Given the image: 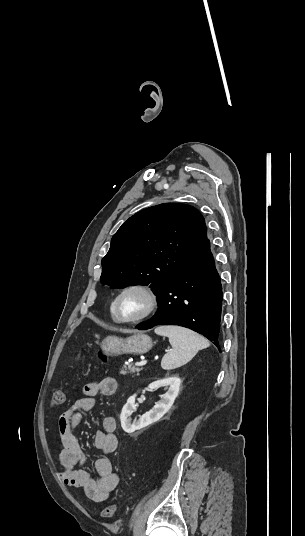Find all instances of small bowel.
Masks as SVG:
<instances>
[{
	"label": "small bowel",
	"mask_w": 305,
	"mask_h": 536,
	"mask_svg": "<svg viewBox=\"0 0 305 536\" xmlns=\"http://www.w3.org/2000/svg\"><path fill=\"white\" fill-rule=\"evenodd\" d=\"M116 390L117 381L113 377H104L98 381L89 382L83 387L84 396L76 400L58 419L61 447L59 456L63 466L60 477L65 485L82 488L86 496L95 502L105 501L109 497L119 484V476L107 457H101L95 461L97 479L82 468L85 463V454L73 431L81 422L82 412L94 407L97 395H113ZM115 428V419L106 417L102 421V430L94 433V445L104 455L112 454L117 448Z\"/></svg>",
	"instance_id": "c3829d8e"
}]
</instances>
